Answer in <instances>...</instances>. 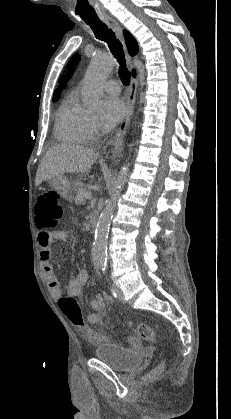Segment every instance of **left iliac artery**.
<instances>
[{"label": "left iliac artery", "mask_w": 231, "mask_h": 419, "mask_svg": "<svg viewBox=\"0 0 231 419\" xmlns=\"http://www.w3.org/2000/svg\"><path fill=\"white\" fill-rule=\"evenodd\" d=\"M104 270H105V268H104ZM111 291H112L113 296L116 298L117 297V293L115 292V290L113 288H111Z\"/></svg>", "instance_id": "1"}]
</instances>
